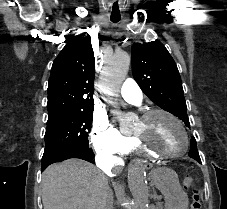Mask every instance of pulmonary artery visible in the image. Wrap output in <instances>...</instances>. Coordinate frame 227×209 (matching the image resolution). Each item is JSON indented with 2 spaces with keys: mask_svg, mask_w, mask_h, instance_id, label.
Segmentation results:
<instances>
[{
  "mask_svg": "<svg viewBox=\"0 0 227 209\" xmlns=\"http://www.w3.org/2000/svg\"><path fill=\"white\" fill-rule=\"evenodd\" d=\"M139 85L134 78H127L121 87V95L124 99L132 102L141 100V91Z\"/></svg>",
  "mask_w": 227,
  "mask_h": 209,
  "instance_id": "e3ab8cb5",
  "label": "pulmonary artery"
}]
</instances>
